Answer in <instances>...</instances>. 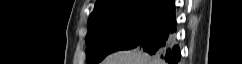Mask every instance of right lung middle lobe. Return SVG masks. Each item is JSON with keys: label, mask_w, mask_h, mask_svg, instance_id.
<instances>
[{"label": "right lung middle lobe", "mask_w": 242, "mask_h": 64, "mask_svg": "<svg viewBox=\"0 0 242 64\" xmlns=\"http://www.w3.org/2000/svg\"><path fill=\"white\" fill-rule=\"evenodd\" d=\"M165 17L150 10L118 12L88 23L86 64H97L108 54L135 48Z\"/></svg>", "instance_id": "obj_1"}]
</instances>
